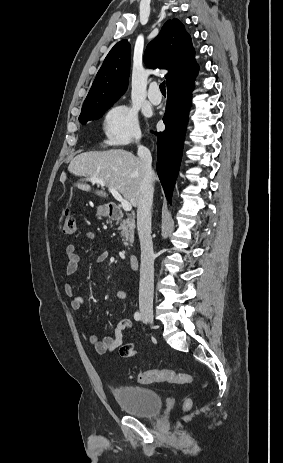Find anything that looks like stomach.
Instances as JSON below:
<instances>
[{
	"label": "stomach",
	"instance_id": "obj_1",
	"mask_svg": "<svg viewBox=\"0 0 283 463\" xmlns=\"http://www.w3.org/2000/svg\"><path fill=\"white\" fill-rule=\"evenodd\" d=\"M97 214L99 216H109L110 215V211H109V206L108 205H103V206H99L97 208Z\"/></svg>",
	"mask_w": 283,
	"mask_h": 463
}]
</instances>
